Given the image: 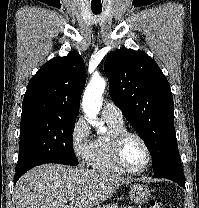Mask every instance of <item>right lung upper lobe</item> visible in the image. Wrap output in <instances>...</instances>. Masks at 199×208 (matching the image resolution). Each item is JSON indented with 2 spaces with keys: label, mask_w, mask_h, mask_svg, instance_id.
Here are the masks:
<instances>
[{
  "label": "right lung upper lobe",
  "mask_w": 199,
  "mask_h": 208,
  "mask_svg": "<svg viewBox=\"0 0 199 208\" xmlns=\"http://www.w3.org/2000/svg\"><path fill=\"white\" fill-rule=\"evenodd\" d=\"M85 64L76 51L44 64L30 80L22 103V115L44 113L77 117L85 86Z\"/></svg>",
  "instance_id": "cb5924a9"
}]
</instances>
